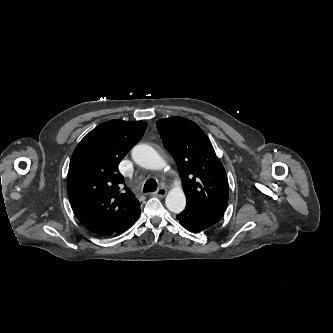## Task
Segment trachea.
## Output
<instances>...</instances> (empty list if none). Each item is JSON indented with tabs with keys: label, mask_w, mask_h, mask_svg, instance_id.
<instances>
[{
	"label": "trachea",
	"mask_w": 333,
	"mask_h": 333,
	"mask_svg": "<svg viewBox=\"0 0 333 333\" xmlns=\"http://www.w3.org/2000/svg\"><path fill=\"white\" fill-rule=\"evenodd\" d=\"M157 190V182L154 179H148L143 188V192H154Z\"/></svg>",
	"instance_id": "obj_1"
}]
</instances>
